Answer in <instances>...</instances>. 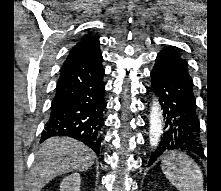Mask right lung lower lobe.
Segmentation results:
<instances>
[{"mask_svg": "<svg viewBox=\"0 0 221 191\" xmlns=\"http://www.w3.org/2000/svg\"><path fill=\"white\" fill-rule=\"evenodd\" d=\"M101 63L99 54L63 66L41 142L53 136H68L99 156L106 109Z\"/></svg>", "mask_w": 221, "mask_h": 191, "instance_id": "1", "label": "right lung lower lobe"}]
</instances>
